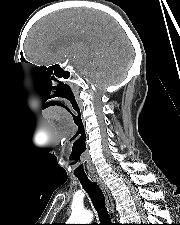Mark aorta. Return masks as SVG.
Instances as JSON below:
<instances>
[{
  "instance_id": "obj_1",
  "label": "aorta",
  "mask_w": 180,
  "mask_h": 225,
  "mask_svg": "<svg viewBox=\"0 0 180 225\" xmlns=\"http://www.w3.org/2000/svg\"><path fill=\"white\" fill-rule=\"evenodd\" d=\"M92 218L93 215L90 211H74L68 220V224H90Z\"/></svg>"
}]
</instances>
